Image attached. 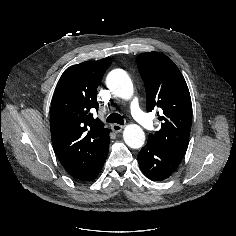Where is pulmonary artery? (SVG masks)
Masks as SVG:
<instances>
[{"mask_svg":"<svg viewBox=\"0 0 236 236\" xmlns=\"http://www.w3.org/2000/svg\"><path fill=\"white\" fill-rule=\"evenodd\" d=\"M130 111L134 119L145 128L152 125L150 117L141 110L138 99L135 97L130 102Z\"/></svg>","mask_w":236,"mask_h":236,"instance_id":"pulmonary-artery-1","label":"pulmonary artery"}]
</instances>
